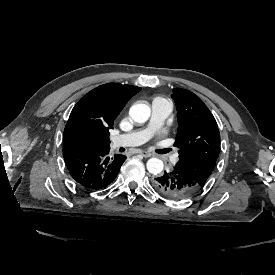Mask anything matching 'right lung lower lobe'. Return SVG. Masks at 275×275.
Segmentation results:
<instances>
[{"instance_id": "98d812e1", "label": "right lung lower lobe", "mask_w": 275, "mask_h": 275, "mask_svg": "<svg viewBox=\"0 0 275 275\" xmlns=\"http://www.w3.org/2000/svg\"><path fill=\"white\" fill-rule=\"evenodd\" d=\"M110 146H82L65 150L63 157L73 179L87 189L107 187L117 177L126 160L124 155L109 156Z\"/></svg>"}]
</instances>
